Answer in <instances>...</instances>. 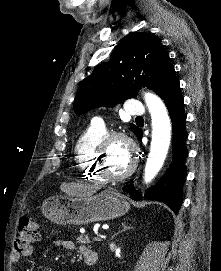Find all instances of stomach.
Segmentation results:
<instances>
[{"instance_id": "stomach-1", "label": "stomach", "mask_w": 221, "mask_h": 271, "mask_svg": "<svg viewBox=\"0 0 221 271\" xmlns=\"http://www.w3.org/2000/svg\"><path fill=\"white\" fill-rule=\"evenodd\" d=\"M42 205L45 217L60 225H86L92 221H106L124 215L130 209L129 201L116 189H103L87 197H48Z\"/></svg>"}]
</instances>
